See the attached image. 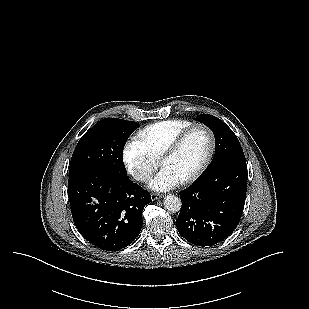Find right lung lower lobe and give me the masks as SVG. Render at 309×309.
Instances as JSON below:
<instances>
[{
    "mask_svg": "<svg viewBox=\"0 0 309 309\" xmlns=\"http://www.w3.org/2000/svg\"><path fill=\"white\" fill-rule=\"evenodd\" d=\"M74 224L92 245L118 251L131 244L142 228V211L150 193L130 179L89 171L68 180Z\"/></svg>",
    "mask_w": 309,
    "mask_h": 309,
    "instance_id": "98d812e1",
    "label": "right lung lower lobe"
}]
</instances>
